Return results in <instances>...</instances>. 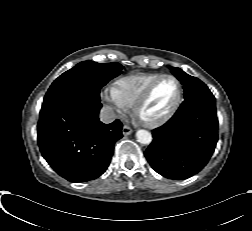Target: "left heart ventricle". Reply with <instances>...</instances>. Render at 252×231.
<instances>
[{
  "instance_id": "b2bd125f",
  "label": "left heart ventricle",
  "mask_w": 252,
  "mask_h": 231,
  "mask_svg": "<svg viewBox=\"0 0 252 231\" xmlns=\"http://www.w3.org/2000/svg\"><path fill=\"white\" fill-rule=\"evenodd\" d=\"M177 96V84L171 78L161 80L153 90L149 100L140 111L146 120H154L164 115Z\"/></svg>"
}]
</instances>
